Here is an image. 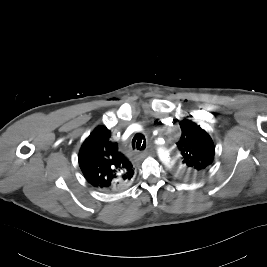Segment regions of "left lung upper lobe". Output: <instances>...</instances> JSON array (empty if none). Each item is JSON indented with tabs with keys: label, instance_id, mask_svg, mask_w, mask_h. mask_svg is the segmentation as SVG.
Here are the masks:
<instances>
[{
	"label": "left lung upper lobe",
	"instance_id": "left-lung-upper-lobe-1",
	"mask_svg": "<svg viewBox=\"0 0 267 267\" xmlns=\"http://www.w3.org/2000/svg\"><path fill=\"white\" fill-rule=\"evenodd\" d=\"M182 135L177 146L182 154L179 174L184 179H194L209 171L214 158L211 137L191 120L180 122Z\"/></svg>",
	"mask_w": 267,
	"mask_h": 267
}]
</instances>
